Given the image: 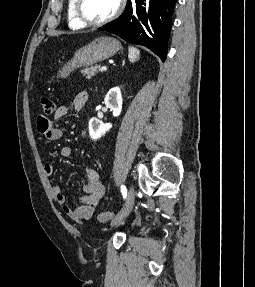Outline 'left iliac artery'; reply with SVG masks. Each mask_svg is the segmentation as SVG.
I'll list each match as a JSON object with an SVG mask.
<instances>
[{
  "instance_id": "44dca946",
  "label": "left iliac artery",
  "mask_w": 255,
  "mask_h": 287,
  "mask_svg": "<svg viewBox=\"0 0 255 287\" xmlns=\"http://www.w3.org/2000/svg\"><path fill=\"white\" fill-rule=\"evenodd\" d=\"M121 193L123 195V198L125 199L127 195V189L124 185L121 186Z\"/></svg>"
}]
</instances>
